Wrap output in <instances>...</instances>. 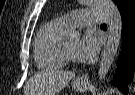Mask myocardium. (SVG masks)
<instances>
[{
    "mask_svg": "<svg viewBox=\"0 0 135 95\" xmlns=\"http://www.w3.org/2000/svg\"><path fill=\"white\" fill-rule=\"evenodd\" d=\"M63 55H64L66 61H69V62H72V63L77 62L76 57L74 55H72V53L69 51L65 42L63 44Z\"/></svg>",
    "mask_w": 135,
    "mask_h": 95,
    "instance_id": "f54148a6",
    "label": "myocardium"
}]
</instances>
